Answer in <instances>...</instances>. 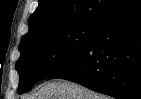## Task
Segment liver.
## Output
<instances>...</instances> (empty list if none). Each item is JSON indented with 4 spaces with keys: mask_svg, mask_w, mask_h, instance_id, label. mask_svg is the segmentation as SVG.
<instances>
[{
    "mask_svg": "<svg viewBox=\"0 0 141 99\" xmlns=\"http://www.w3.org/2000/svg\"><path fill=\"white\" fill-rule=\"evenodd\" d=\"M26 99H110L77 83L54 80L36 88Z\"/></svg>",
    "mask_w": 141,
    "mask_h": 99,
    "instance_id": "1",
    "label": "liver"
}]
</instances>
